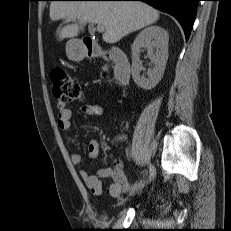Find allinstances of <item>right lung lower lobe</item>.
<instances>
[{
	"label": "right lung lower lobe",
	"mask_w": 231,
	"mask_h": 231,
	"mask_svg": "<svg viewBox=\"0 0 231 231\" xmlns=\"http://www.w3.org/2000/svg\"><path fill=\"white\" fill-rule=\"evenodd\" d=\"M110 1V0H95ZM113 1H143L158 10L172 15L182 26L186 40H188L196 17V10L200 0H113Z\"/></svg>",
	"instance_id": "98d812e1"
}]
</instances>
